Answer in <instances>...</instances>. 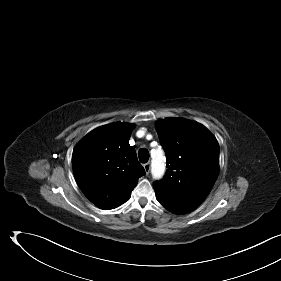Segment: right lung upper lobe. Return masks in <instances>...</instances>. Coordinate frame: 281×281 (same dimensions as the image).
<instances>
[{
    "mask_svg": "<svg viewBox=\"0 0 281 281\" xmlns=\"http://www.w3.org/2000/svg\"><path fill=\"white\" fill-rule=\"evenodd\" d=\"M134 124L111 123L92 130L75 147L72 165L84 195L108 210L125 203L145 175L129 138Z\"/></svg>",
    "mask_w": 281,
    "mask_h": 281,
    "instance_id": "1",
    "label": "right lung upper lobe"
}]
</instances>
